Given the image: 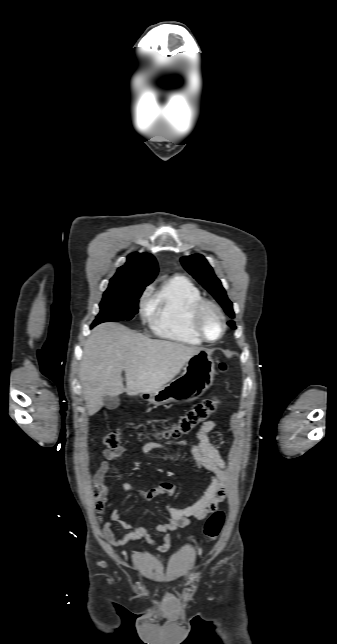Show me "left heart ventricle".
<instances>
[{"mask_svg":"<svg viewBox=\"0 0 337 644\" xmlns=\"http://www.w3.org/2000/svg\"><path fill=\"white\" fill-rule=\"evenodd\" d=\"M201 326L207 338L216 339L220 334L221 328L218 314L212 309L206 310L202 318Z\"/></svg>","mask_w":337,"mask_h":644,"instance_id":"1","label":"left heart ventricle"}]
</instances>
